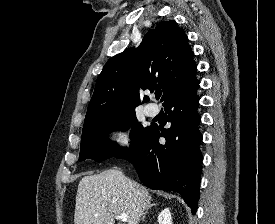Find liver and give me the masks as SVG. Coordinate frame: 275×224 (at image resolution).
I'll return each mask as SVG.
<instances>
[{
  "instance_id": "obj_1",
  "label": "liver",
  "mask_w": 275,
  "mask_h": 224,
  "mask_svg": "<svg viewBox=\"0 0 275 224\" xmlns=\"http://www.w3.org/2000/svg\"><path fill=\"white\" fill-rule=\"evenodd\" d=\"M151 198L144 186L119 170L87 175L78 184L74 223L114 224V215L126 214L128 224H138Z\"/></svg>"
}]
</instances>
